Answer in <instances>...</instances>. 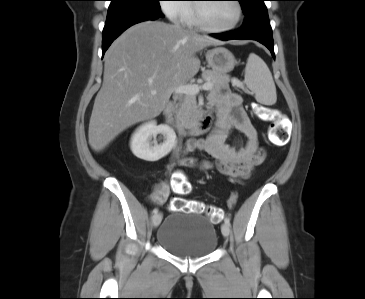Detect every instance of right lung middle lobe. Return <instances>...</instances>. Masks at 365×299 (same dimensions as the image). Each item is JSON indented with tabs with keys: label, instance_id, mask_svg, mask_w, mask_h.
Here are the masks:
<instances>
[{
	"label": "right lung middle lobe",
	"instance_id": "obj_1",
	"mask_svg": "<svg viewBox=\"0 0 365 299\" xmlns=\"http://www.w3.org/2000/svg\"><path fill=\"white\" fill-rule=\"evenodd\" d=\"M108 15L119 13L128 9H158L161 10L160 0H110Z\"/></svg>",
	"mask_w": 365,
	"mask_h": 299
}]
</instances>
